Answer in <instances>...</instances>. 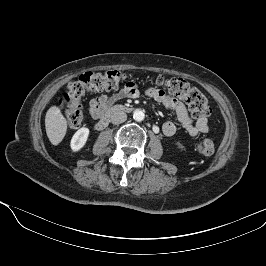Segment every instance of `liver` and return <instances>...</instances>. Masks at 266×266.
Listing matches in <instances>:
<instances>
[{"instance_id": "obj_1", "label": "liver", "mask_w": 266, "mask_h": 266, "mask_svg": "<svg viewBox=\"0 0 266 266\" xmlns=\"http://www.w3.org/2000/svg\"><path fill=\"white\" fill-rule=\"evenodd\" d=\"M46 133L53 145H58L66 135L67 120L57 106H52L45 116Z\"/></svg>"}]
</instances>
